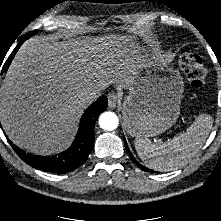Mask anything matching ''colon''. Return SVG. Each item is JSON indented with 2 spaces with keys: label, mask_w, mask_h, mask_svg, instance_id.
Returning <instances> with one entry per match:
<instances>
[{
  "label": "colon",
  "mask_w": 221,
  "mask_h": 221,
  "mask_svg": "<svg viewBox=\"0 0 221 221\" xmlns=\"http://www.w3.org/2000/svg\"><path fill=\"white\" fill-rule=\"evenodd\" d=\"M179 65L193 88L204 85L206 69L201 58L190 51H183L179 56Z\"/></svg>",
  "instance_id": "5ec220e1"
}]
</instances>
